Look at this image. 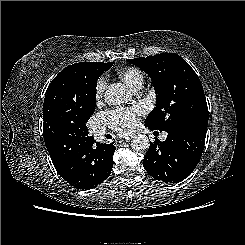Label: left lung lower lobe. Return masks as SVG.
Segmentation results:
<instances>
[{
  "mask_svg": "<svg viewBox=\"0 0 245 245\" xmlns=\"http://www.w3.org/2000/svg\"><path fill=\"white\" fill-rule=\"evenodd\" d=\"M206 131L207 124L194 123L167 132L168 136L164 142L155 139L144 156L145 170L155 179L166 183L184 180L200 161Z\"/></svg>",
  "mask_w": 245,
  "mask_h": 245,
  "instance_id": "obj_1",
  "label": "left lung lower lobe"
}]
</instances>
